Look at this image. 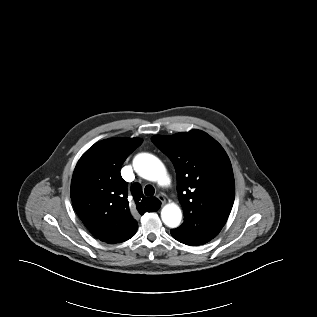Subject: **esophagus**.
Instances as JSON below:
<instances>
[{
    "label": "esophagus",
    "mask_w": 317,
    "mask_h": 317,
    "mask_svg": "<svg viewBox=\"0 0 317 317\" xmlns=\"http://www.w3.org/2000/svg\"><path fill=\"white\" fill-rule=\"evenodd\" d=\"M157 198L161 201L162 204H165V203H166V199H165V197H164L163 195L159 194V195L157 196Z\"/></svg>",
    "instance_id": "obj_1"
}]
</instances>
